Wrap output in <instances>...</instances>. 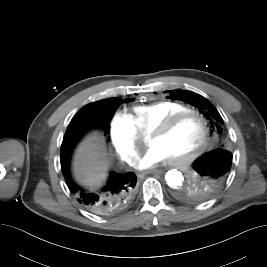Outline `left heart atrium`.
I'll list each match as a JSON object with an SVG mask.
<instances>
[{"mask_svg":"<svg viewBox=\"0 0 267 267\" xmlns=\"http://www.w3.org/2000/svg\"><path fill=\"white\" fill-rule=\"evenodd\" d=\"M168 155L158 146H151L147 152L139 159L138 166L146 169L156 164L168 160Z\"/></svg>","mask_w":267,"mask_h":267,"instance_id":"39dd6f15","label":"left heart atrium"}]
</instances>
